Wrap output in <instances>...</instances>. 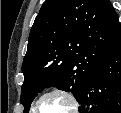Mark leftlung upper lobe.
<instances>
[{
    "mask_svg": "<svg viewBox=\"0 0 121 113\" xmlns=\"http://www.w3.org/2000/svg\"><path fill=\"white\" fill-rule=\"evenodd\" d=\"M120 27L109 0H46L31 28L22 64L24 113L50 86L78 100Z\"/></svg>",
    "mask_w": 121,
    "mask_h": 113,
    "instance_id": "5c2ea615",
    "label": "left lung upper lobe"
}]
</instances>
